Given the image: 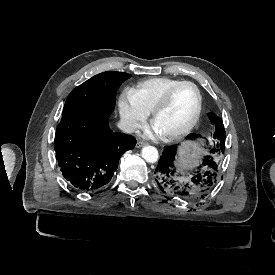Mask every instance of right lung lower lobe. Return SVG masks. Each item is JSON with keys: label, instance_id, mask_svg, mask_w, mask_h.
Wrapping results in <instances>:
<instances>
[{"label": "right lung lower lobe", "instance_id": "98d812e1", "mask_svg": "<svg viewBox=\"0 0 275 275\" xmlns=\"http://www.w3.org/2000/svg\"><path fill=\"white\" fill-rule=\"evenodd\" d=\"M135 144L133 136L113 132L106 117L84 111L63 112L54 140L64 178L84 192L106 185L120 157Z\"/></svg>", "mask_w": 275, "mask_h": 275}]
</instances>
